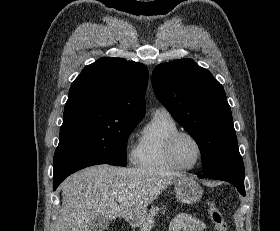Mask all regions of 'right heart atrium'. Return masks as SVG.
<instances>
[{
  "label": "right heart atrium",
  "mask_w": 280,
  "mask_h": 231,
  "mask_svg": "<svg viewBox=\"0 0 280 231\" xmlns=\"http://www.w3.org/2000/svg\"><path fill=\"white\" fill-rule=\"evenodd\" d=\"M127 145H128V152H127L128 158L131 161H135L136 148L132 146V140L130 137L127 139Z\"/></svg>",
  "instance_id": "1"
}]
</instances>
